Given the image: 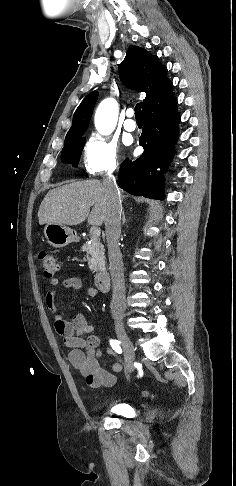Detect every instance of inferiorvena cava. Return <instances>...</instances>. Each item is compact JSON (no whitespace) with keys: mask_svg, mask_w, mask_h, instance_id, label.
I'll return each instance as SVG.
<instances>
[{"mask_svg":"<svg viewBox=\"0 0 236 486\" xmlns=\"http://www.w3.org/2000/svg\"><path fill=\"white\" fill-rule=\"evenodd\" d=\"M112 171L107 177L103 178V185L106 188L109 202L105 218V230L108 246L109 270L113 285L111 311L113 315H120L125 310V281L122 254L119 247L122 201Z\"/></svg>","mask_w":236,"mask_h":486,"instance_id":"602c4592","label":"inferior vena cava"}]
</instances>
